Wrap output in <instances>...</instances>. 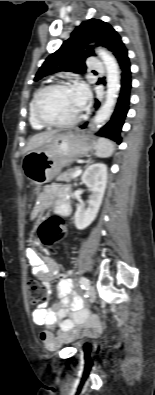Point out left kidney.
Listing matches in <instances>:
<instances>
[{
	"mask_svg": "<svg viewBox=\"0 0 155 395\" xmlns=\"http://www.w3.org/2000/svg\"><path fill=\"white\" fill-rule=\"evenodd\" d=\"M82 183L90 188L92 194L88 201V208L77 204L74 223L77 229L87 228L96 218L107 186V166L95 163L89 166L82 175Z\"/></svg>",
	"mask_w": 155,
	"mask_h": 395,
	"instance_id": "obj_1",
	"label": "left kidney"
}]
</instances>
